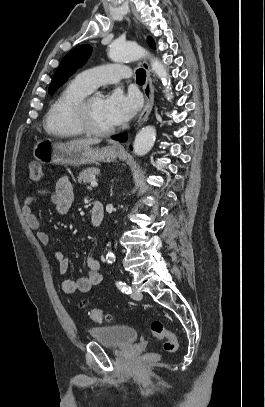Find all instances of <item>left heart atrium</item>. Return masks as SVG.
<instances>
[{
	"mask_svg": "<svg viewBox=\"0 0 265 407\" xmlns=\"http://www.w3.org/2000/svg\"><path fill=\"white\" fill-rule=\"evenodd\" d=\"M139 97L134 94H124L114 91L104 100L105 114L112 126L128 122L140 109Z\"/></svg>",
	"mask_w": 265,
	"mask_h": 407,
	"instance_id": "39dd6f15",
	"label": "left heart atrium"
}]
</instances>
